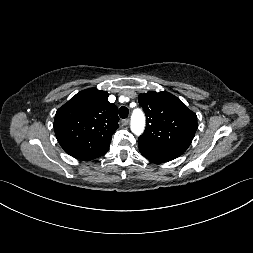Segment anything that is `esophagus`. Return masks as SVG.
Instances as JSON below:
<instances>
[{"instance_id":"obj_1","label":"esophagus","mask_w":253,"mask_h":253,"mask_svg":"<svg viewBox=\"0 0 253 253\" xmlns=\"http://www.w3.org/2000/svg\"><path fill=\"white\" fill-rule=\"evenodd\" d=\"M122 125L128 126L129 125V119L122 120Z\"/></svg>"}]
</instances>
